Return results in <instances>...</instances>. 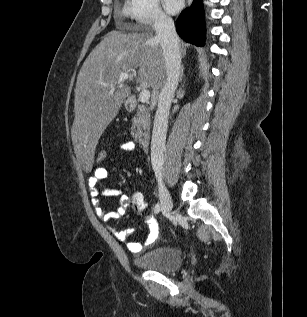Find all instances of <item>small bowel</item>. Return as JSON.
<instances>
[{"mask_svg": "<svg viewBox=\"0 0 307 317\" xmlns=\"http://www.w3.org/2000/svg\"><path fill=\"white\" fill-rule=\"evenodd\" d=\"M116 150L122 154L132 153L136 150V144L133 141H126L119 144ZM107 176L108 170L105 167H96L92 176L88 180L90 193L92 196V204L96 215L104 222L120 219L124 215L125 210L129 205V197L123 195L121 190L109 188L104 185L103 180ZM100 196L118 198L117 208L107 211L100 201ZM148 224L149 232L147 237L142 242H127L126 246L131 252H141L144 248L151 245L158 237L159 230L157 223L153 220H149ZM108 228L117 239L121 241H125L127 239V231L117 230L111 226H108Z\"/></svg>", "mask_w": 307, "mask_h": 317, "instance_id": "c3829d8e", "label": "small bowel"}]
</instances>
